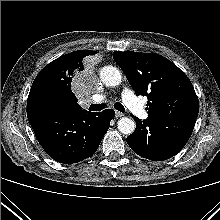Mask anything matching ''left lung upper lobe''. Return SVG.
<instances>
[{
    "instance_id": "1",
    "label": "left lung upper lobe",
    "mask_w": 220,
    "mask_h": 220,
    "mask_svg": "<svg viewBox=\"0 0 220 220\" xmlns=\"http://www.w3.org/2000/svg\"><path fill=\"white\" fill-rule=\"evenodd\" d=\"M113 59L126 75L136 95L148 97L149 119L177 115L198 116L194 88L173 62L156 53L115 51Z\"/></svg>"
}]
</instances>
